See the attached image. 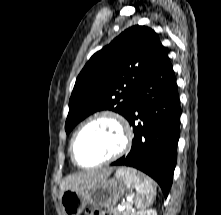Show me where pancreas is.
<instances>
[{
    "label": "pancreas",
    "mask_w": 221,
    "mask_h": 215,
    "mask_svg": "<svg viewBox=\"0 0 221 215\" xmlns=\"http://www.w3.org/2000/svg\"><path fill=\"white\" fill-rule=\"evenodd\" d=\"M112 215H135L134 212L131 210V206L127 204V208L123 211L116 210L114 208L109 209Z\"/></svg>",
    "instance_id": "pancreas-1"
}]
</instances>
